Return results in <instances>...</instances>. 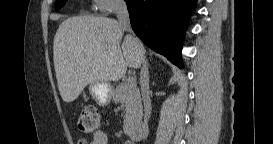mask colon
Instances as JSON below:
<instances>
[{"label": "colon", "mask_w": 273, "mask_h": 144, "mask_svg": "<svg viewBox=\"0 0 273 144\" xmlns=\"http://www.w3.org/2000/svg\"><path fill=\"white\" fill-rule=\"evenodd\" d=\"M101 126V116L98 109L93 105L82 108L77 120V127L81 133H96Z\"/></svg>", "instance_id": "obj_1"}]
</instances>
